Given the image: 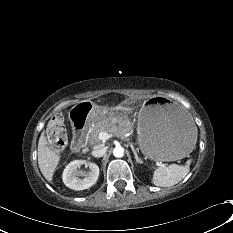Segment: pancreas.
Wrapping results in <instances>:
<instances>
[{
    "mask_svg": "<svg viewBox=\"0 0 233 233\" xmlns=\"http://www.w3.org/2000/svg\"><path fill=\"white\" fill-rule=\"evenodd\" d=\"M102 131L108 132L112 136L122 137L124 134L131 131V126L129 124L116 126L108 120H102L89 129L88 138L91 145L99 146L101 144V140L98 138V135Z\"/></svg>",
    "mask_w": 233,
    "mask_h": 233,
    "instance_id": "cf45deb5",
    "label": "pancreas"
}]
</instances>
